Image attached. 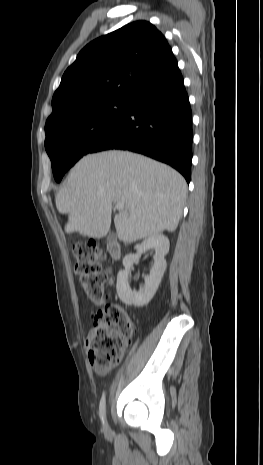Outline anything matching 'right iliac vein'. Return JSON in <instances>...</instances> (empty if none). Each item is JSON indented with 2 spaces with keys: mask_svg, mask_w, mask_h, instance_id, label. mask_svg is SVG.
I'll return each mask as SVG.
<instances>
[{
  "mask_svg": "<svg viewBox=\"0 0 263 465\" xmlns=\"http://www.w3.org/2000/svg\"><path fill=\"white\" fill-rule=\"evenodd\" d=\"M104 429L107 431L108 430V424L107 422H104Z\"/></svg>",
  "mask_w": 263,
  "mask_h": 465,
  "instance_id": "obj_1",
  "label": "right iliac vein"
}]
</instances>
